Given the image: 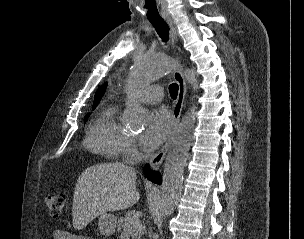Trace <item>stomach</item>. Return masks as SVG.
Returning a JSON list of instances; mask_svg holds the SVG:
<instances>
[{
  "label": "stomach",
  "instance_id": "0dacf381",
  "mask_svg": "<svg viewBox=\"0 0 304 239\" xmlns=\"http://www.w3.org/2000/svg\"><path fill=\"white\" fill-rule=\"evenodd\" d=\"M117 225V218L110 213H103L99 215L98 218V228L102 235L111 236L115 230Z\"/></svg>",
  "mask_w": 304,
  "mask_h": 239
}]
</instances>
